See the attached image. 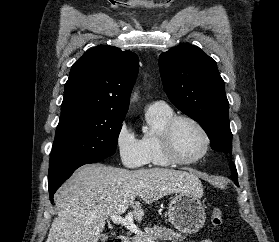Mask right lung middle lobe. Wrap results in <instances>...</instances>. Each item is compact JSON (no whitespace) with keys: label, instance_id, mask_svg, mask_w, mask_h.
<instances>
[{"label":"right lung middle lobe","instance_id":"right-lung-middle-lobe-1","mask_svg":"<svg viewBox=\"0 0 279 242\" xmlns=\"http://www.w3.org/2000/svg\"><path fill=\"white\" fill-rule=\"evenodd\" d=\"M124 118L73 111L61 114L49 162L48 179L74 163L91 157L112 156Z\"/></svg>","mask_w":279,"mask_h":242}]
</instances>
